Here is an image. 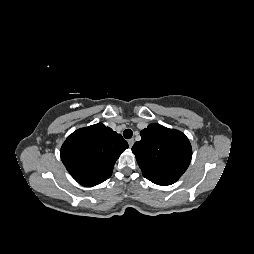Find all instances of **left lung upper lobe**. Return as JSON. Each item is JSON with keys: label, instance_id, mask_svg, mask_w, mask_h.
I'll use <instances>...</instances> for the list:
<instances>
[{"label": "left lung upper lobe", "instance_id": "1", "mask_svg": "<svg viewBox=\"0 0 254 254\" xmlns=\"http://www.w3.org/2000/svg\"><path fill=\"white\" fill-rule=\"evenodd\" d=\"M143 176L158 185L175 183L188 168L192 149L184 133L150 124L132 147Z\"/></svg>", "mask_w": 254, "mask_h": 254}]
</instances>
